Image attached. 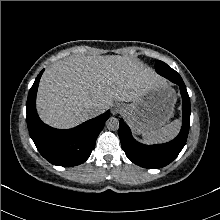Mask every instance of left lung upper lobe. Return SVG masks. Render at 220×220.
Wrapping results in <instances>:
<instances>
[{
    "label": "left lung upper lobe",
    "mask_w": 220,
    "mask_h": 220,
    "mask_svg": "<svg viewBox=\"0 0 220 220\" xmlns=\"http://www.w3.org/2000/svg\"><path fill=\"white\" fill-rule=\"evenodd\" d=\"M167 64L162 61H157L155 68H162L165 67Z\"/></svg>",
    "instance_id": "5c2ea615"
}]
</instances>
